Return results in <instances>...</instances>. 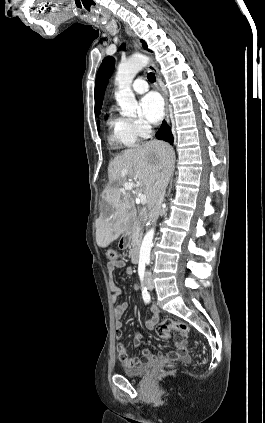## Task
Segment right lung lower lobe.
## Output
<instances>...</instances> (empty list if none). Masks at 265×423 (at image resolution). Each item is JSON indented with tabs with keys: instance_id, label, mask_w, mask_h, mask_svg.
Listing matches in <instances>:
<instances>
[{
	"instance_id": "98d812e1",
	"label": "right lung lower lobe",
	"mask_w": 265,
	"mask_h": 423,
	"mask_svg": "<svg viewBox=\"0 0 265 423\" xmlns=\"http://www.w3.org/2000/svg\"><path fill=\"white\" fill-rule=\"evenodd\" d=\"M156 138L159 140H164L166 142H169L170 144H173V135L165 121H163L161 127L156 133Z\"/></svg>"
}]
</instances>
